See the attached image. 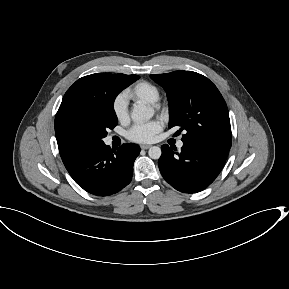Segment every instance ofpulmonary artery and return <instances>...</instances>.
Here are the masks:
<instances>
[{
	"label": "pulmonary artery",
	"instance_id": "e3ab8cb5",
	"mask_svg": "<svg viewBox=\"0 0 289 289\" xmlns=\"http://www.w3.org/2000/svg\"><path fill=\"white\" fill-rule=\"evenodd\" d=\"M177 146H178V148H181V147L183 146V142H182V141H179V142L177 143Z\"/></svg>",
	"mask_w": 289,
	"mask_h": 289
}]
</instances>
